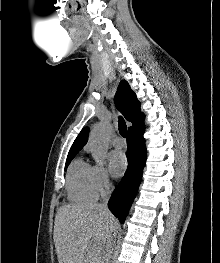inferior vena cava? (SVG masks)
<instances>
[{
  "label": "inferior vena cava",
  "instance_id": "1",
  "mask_svg": "<svg viewBox=\"0 0 220 263\" xmlns=\"http://www.w3.org/2000/svg\"><path fill=\"white\" fill-rule=\"evenodd\" d=\"M103 203L100 204L101 208L105 210L106 212H109L108 210V201L110 199V194L106 193L103 196ZM116 237V234L113 233L110 235L107 239L106 246H105V263H109L110 259V253L113 251V245H114V238Z\"/></svg>",
  "mask_w": 220,
  "mask_h": 263
}]
</instances>
